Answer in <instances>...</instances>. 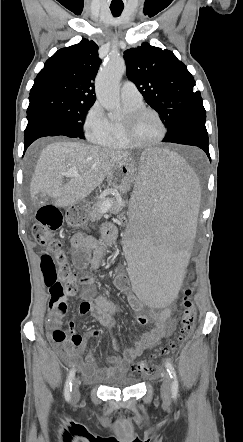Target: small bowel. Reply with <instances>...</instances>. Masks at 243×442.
Listing matches in <instances>:
<instances>
[{
  "label": "small bowel",
  "mask_w": 243,
  "mask_h": 442,
  "mask_svg": "<svg viewBox=\"0 0 243 442\" xmlns=\"http://www.w3.org/2000/svg\"><path fill=\"white\" fill-rule=\"evenodd\" d=\"M116 235V228L110 223L102 227L100 238L84 232L75 233L70 240L74 265L78 269L90 266L91 269L97 270L108 253L106 243L112 242ZM83 281L88 287L82 293L78 314L69 321V338L64 341H53L59 347L62 356L71 365L79 367L83 374L91 380H103L127 372L130 364L136 358L145 350L158 345L171 332L173 324L170 321L172 314L170 309L155 312L150 319L147 316L140 315L137 317V322L140 325H148L149 329L133 339V347L126 348L121 355L108 356L105 366L97 365L90 351L85 357H82V353L86 348V340L76 330V319L80 316L90 315L104 326L111 327L113 325V317L121 311L118 303L109 300L92 286L94 283L93 278L88 277ZM115 285L120 291L130 293V280L119 269L115 271ZM129 301L133 308H139L140 301L136 296L129 294ZM66 310L67 305L51 307L47 327L52 331V335L57 330L65 332L62 329V318ZM100 340V331H93L92 341L96 343ZM114 348L116 351H119V346L116 342H114Z\"/></svg>",
  "instance_id": "c3829d8e"
}]
</instances>
